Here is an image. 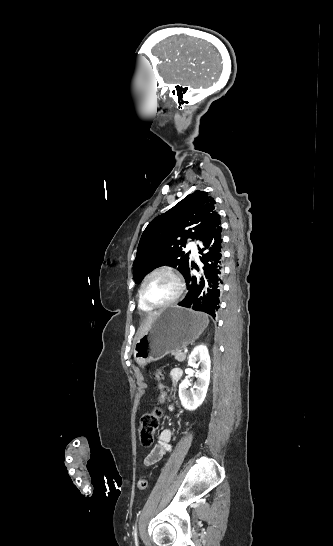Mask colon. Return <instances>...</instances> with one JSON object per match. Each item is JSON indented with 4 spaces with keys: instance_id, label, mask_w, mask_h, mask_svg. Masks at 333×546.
Segmentation results:
<instances>
[{
    "instance_id": "obj_1",
    "label": "colon",
    "mask_w": 333,
    "mask_h": 546,
    "mask_svg": "<svg viewBox=\"0 0 333 546\" xmlns=\"http://www.w3.org/2000/svg\"><path fill=\"white\" fill-rule=\"evenodd\" d=\"M153 377L155 380L160 382L162 379L161 370L155 371L153 374ZM160 391H161V397L163 399L166 396L167 389L162 384H160ZM161 415H162V412L158 408L142 415L140 419V425H139V439L142 446L149 447L153 444L155 433L157 432L160 426ZM137 487L141 491L146 490L148 487L147 480L145 479L139 480L137 483Z\"/></svg>"
}]
</instances>
